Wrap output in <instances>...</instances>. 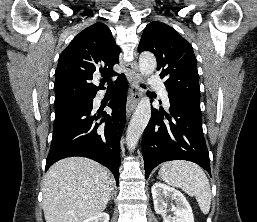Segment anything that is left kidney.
Returning a JSON list of instances; mask_svg holds the SVG:
<instances>
[{
  "instance_id": "obj_1",
  "label": "left kidney",
  "mask_w": 257,
  "mask_h": 222,
  "mask_svg": "<svg viewBox=\"0 0 257 222\" xmlns=\"http://www.w3.org/2000/svg\"><path fill=\"white\" fill-rule=\"evenodd\" d=\"M155 212L161 214L163 222H194L192 209L185 196L178 190L156 182L151 188ZM174 202L171 211L175 216H167V202Z\"/></svg>"
}]
</instances>
